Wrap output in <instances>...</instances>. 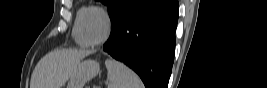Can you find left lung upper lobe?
I'll list each match as a JSON object with an SVG mask.
<instances>
[{"label":"left lung upper lobe","instance_id":"5c2ea615","mask_svg":"<svg viewBox=\"0 0 267 88\" xmlns=\"http://www.w3.org/2000/svg\"><path fill=\"white\" fill-rule=\"evenodd\" d=\"M102 3L108 6V13L111 19L112 25L117 20L121 12L127 6L131 0H100Z\"/></svg>","mask_w":267,"mask_h":88}]
</instances>
